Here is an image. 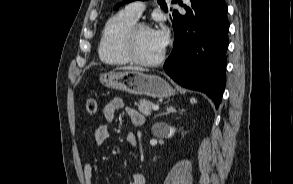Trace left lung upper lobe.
<instances>
[{"instance_id": "1", "label": "left lung upper lobe", "mask_w": 293, "mask_h": 184, "mask_svg": "<svg viewBox=\"0 0 293 184\" xmlns=\"http://www.w3.org/2000/svg\"><path fill=\"white\" fill-rule=\"evenodd\" d=\"M132 1H135V0H125L124 2L120 3V4H117L115 6V9H118V7H120L121 5L125 4V3H129V2H132ZM158 1V4L160 5V7L165 11V12H168L169 9L167 7V4L165 3V0H157ZM174 12V11H173Z\"/></svg>"}]
</instances>
